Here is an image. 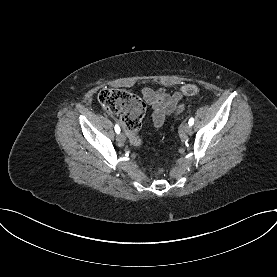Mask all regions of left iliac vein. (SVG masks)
<instances>
[{
  "instance_id": "1",
  "label": "left iliac vein",
  "mask_w": 277,
  "mask_h": 277,
  "mask_svg": "<svg viewBox=\"0 0 277 277\" xmlns=\"http://www.w3.org/2000/svg\"><path fill=\"white\" fill-rule=\"evenodd\" d=\"M181 130L185 134H190L192 132V127L189 124L185 123L184 125H182Z\"/></svg>"
}]
</instances>
